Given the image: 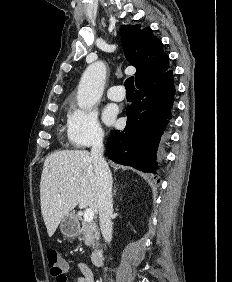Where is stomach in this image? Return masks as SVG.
<instances>
[{
  "instance_id": "1",
  "label": "stomach",
  "mask_w": 232,
  "mask_h": 282,
  "mask_svg": "<svg viewBox=\"0 0 232 282\" xmlns=\"http://www.w3.org/2000/svg\"><path fill=\"white\" fill-rule=\"evenodd\" d=\"M59 228L63 236L67 238L76 237L80 231L79 222L73 213H69L63 217Z\"/></svg>"
}]
</instances>
